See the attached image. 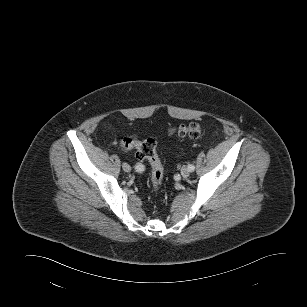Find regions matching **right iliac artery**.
I'll return each mask as SVG.
<instances>
[{"label":"right iliac artery","instance_id":"82829eb1","mask_svg":"<svg viewBox=\"0 0 307 307\" xmlns=\"http://www.w3.org/2000/svg\"><path fill=\"white\" fill-rule=\"evenodd\" d=\"M134 168H135V170H136L137 172H142V171H144V166H143L142 164H137V165L134 166Z\"/></svg>","mask_w":307,"mask_h":307}]
</instances>
